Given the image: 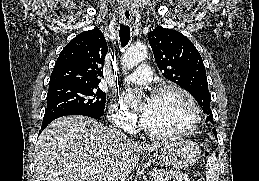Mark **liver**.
<instances>
[{"mask_svg":"<svg viewBox=\"0 0 259 181\" xmlns=\"http://www.w3.org/2000/svg\"><path fill=\"white\" fill-rule=\"evenodd\" d=\"M166 141L142 144L84 116L51 122L36 144L35 181H125L139 162ZM98 172L91 175L86 169Z\"/></svg>","mask_w":259,"mask_h":181,"instance_id":"obj_1","label":"liver"}]
</instances>
